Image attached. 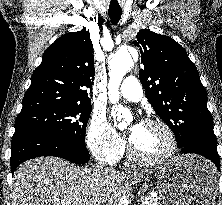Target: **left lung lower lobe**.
<instances>
[{
	"mask_svg": "<svg viewBox=\"0 0 222 205\" xmlns=\"http://www.w3.org/2000/svg\"><path fill=\"white\" fill-rule=\"evenodd\" d=\"M180 151L184 154L193 153L204 156L205 158L211 160L217 169L220 170V159L217 152V146L202 140H195L181 147Z\"/></svg>",
	"mask_w": 222,
	"mask_h": 205,
	"instance_id": "obj_1",
	"label": "left lung lower lobe"
}]
</instances>
